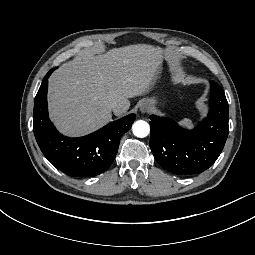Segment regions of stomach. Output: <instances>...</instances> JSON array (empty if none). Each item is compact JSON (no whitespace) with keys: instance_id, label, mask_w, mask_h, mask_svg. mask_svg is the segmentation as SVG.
Returning a JSON list of instances; mask_svg holds the SVG:
<instances>
[{"instance_id":"stomach-1","label":"stomach","mask_w":255,"mask_h":255,"mask_svg":"<svg viewBox=\"0 0 255 255\" xmlns=\"http://www.w3.org/2000/svg\"><path fill=\"white\" fill-rule=\"evenodd\" d=\"M147 100L150 102L151 107H152V105H153V100H151V99H147Z\"/></svg>"}]
</instances>
